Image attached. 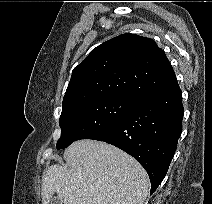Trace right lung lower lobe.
I'll return each instance as SVG.
<instances>
[{
	"instance_id": "right-lung-lower-lobe-1",
	"label": "right lung lower lobe",
	"mask_w": 212,
	"mask_h": 204,
	"mask_svg": "<svg viewBox=\"0 0 212 204\" xmlns=\"http://www.w3.org/2000/svg\"><path fill=\"white\" fill-rule=\"evenodd\" d=\"M182 93L178 84L139 100L115 126L90 139L112 144L147 171L151 194L164 179L182 132Z\"/></svg>"
}]
</instances>
